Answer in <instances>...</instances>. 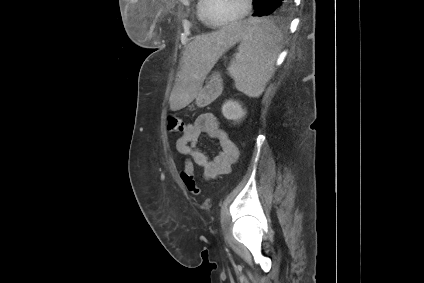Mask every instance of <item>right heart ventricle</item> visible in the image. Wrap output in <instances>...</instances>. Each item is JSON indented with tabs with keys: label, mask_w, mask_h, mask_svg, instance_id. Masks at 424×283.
<instances>
[{
	"label": "right heart ventricle",
	"mask_w": 424,
	"mask_h": 283,
	"mask_svg": "<svg viewBox=\"0 0 424 283\" xmlns=\"http://www.w3.org/2000/svg\"><path fill=\"white\" fill-rule=\"evenodd\" d=\"M203 6H204V0H197V4H196V15H197V18L201 22L205 23L204 22V19H203Z\"/></svg>",
	"instance_id": "right-heart-ventricle-1"
}]
</instances>
